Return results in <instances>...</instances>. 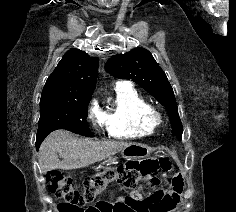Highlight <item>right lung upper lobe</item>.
Wrapping results in <instances>:
<instances>
[{"instance_id": "right-lung-upper-lobe-1", "label": "right lung upper lobe", "mask_w": 236, "mask_h": 212, "mask_svg": "<svg viewBox=\"0 0 236 212\" xmlns=\"http://www.w3.org/2000/svg\"><path fill=\"white\" fill-rule=\"evenodd\" d=\"M98 59L79 49L68 50L48 77L41 100L91 97L96 85Z\"/></svg>"}]
</instances>
